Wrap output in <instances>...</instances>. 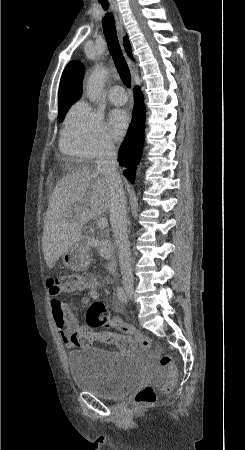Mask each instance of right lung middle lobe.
I'll return each mask as SVG.
<instances>
[{
	"label": "right lung middle lobe",
	"instance_id": "right-lung-middle-lobe-1",
	"mask_svg": "<svg viewBox=\"0 0 245 450\" xmlns=\"http://www.w3.org/2000/svg\"><path fill=\"white\" fill-rule=\"evenodd\" d=\"M71 105H72V103L64 105V106L59 108L58 118H59L60 121L63 119V116L66 114V112L68 111V109L70 108Z\"/></svg>",
	"mask_w": 245,
	"mask_h": 450
}]
</instances>
